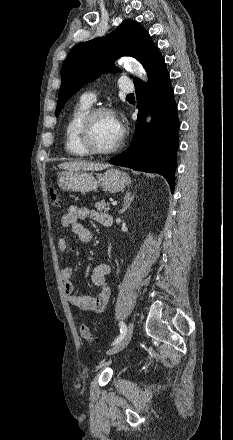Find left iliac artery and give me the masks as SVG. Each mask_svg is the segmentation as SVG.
Here are the masks:
<instances>
[{"label":"left iliac artery","instance_id":"44dca946","mask_svg":"<svg viewBox=\"0 0 233 440\" xmlns=\"http://www.w3.org/2000/svg\"><path fill=\"white\" fill-rule=\"evenodd\" d=\"M120 327H121V329H120V335H119V337L113 342V345L119 343V342L123 339V337L125 336V334H126L127 327H126V325H125L124 322H120Z\"/></svg>","mask_w":233,"mask_h":440}]
</instances>
